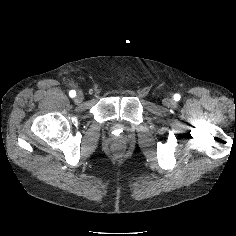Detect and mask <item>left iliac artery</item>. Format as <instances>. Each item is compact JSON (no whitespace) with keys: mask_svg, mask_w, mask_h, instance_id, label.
<instances>
[{"mask_svg":"<svg viewBox=\"0 0 236 236\" xmlns=\"http://www.w3.org/2000/svg\"><path fill=\"white\" fill-rule=\"evenodd\" d=\"M174 99H175L176 101L180 100V95H179V94H175V95H174Z\"/></svg>","mask_w":236,"mask_h":236,"instance_id":"44dca946","label":"left iliac artery"}]
</instances>
